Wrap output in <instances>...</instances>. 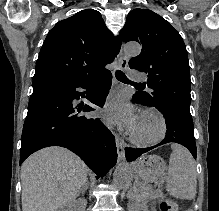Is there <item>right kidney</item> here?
Segmentation results:
<instances>
[{
  "mask_svg": "<svg viewBox=\"0 0 219 211\" xmlns=\"http://www.w3.org/2000/svg\"><path fill=\"white\" fill-rule=\"evenodd\" d=\"M74 207H76L75 203H73ZM63 211H71V205H66L65 209Z\"/></svg>",
  "mask_w": 219,
  "mask_h": 211,
  "instance_id": "right-kidney-1",
  "label": "right kidney"
}]
</instances>
